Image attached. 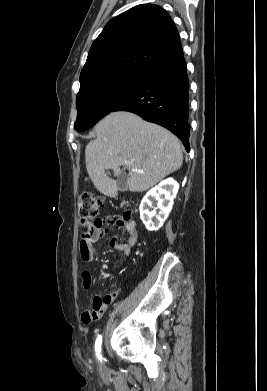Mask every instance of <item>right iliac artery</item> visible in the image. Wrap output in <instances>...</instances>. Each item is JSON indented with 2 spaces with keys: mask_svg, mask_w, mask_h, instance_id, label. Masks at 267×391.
<instances>
[{
  "mask_svg": "<svg viewBox=\"0 0 267 391\" xmlns=\"http://www.w3.org/2000/svg\"><path fill=\"white\" fill-rule=\"evenodd\" d=\"M101 343H102V337L101 336H98V338L96 339V343H95V350H96V355L98 357L99 360L102 359L101 355H100V352H101Z\"/></svg>",
  "mask_w": 267,
  "mask_h": 391,
  "instance_id": "right-iliac-artery-1",
  "label": "right iliac artery"
}]
</instances>
